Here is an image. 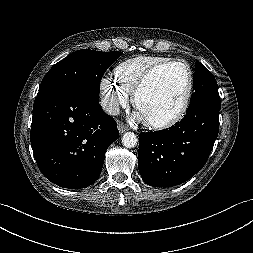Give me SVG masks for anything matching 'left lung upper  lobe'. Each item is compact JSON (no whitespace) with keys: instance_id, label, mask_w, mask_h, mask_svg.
Segmentation results:
<instances>
[{"instance_id":"left-lung-upper-lobe-1","label":"left lung upper lobe","mask_w":253,"mask_h":253,"mask_svg":"<svg viewBox=\"0 0 253 253\" xmlns=\"http://www.w3.org/2000/svg\"><path fill=\"white\" fill-rule=\"evenodd\" d=\"M193 90L190 106L202 100L220 101L215 77L199 61L195 63Z\"/></svg>"}]
</instances>
